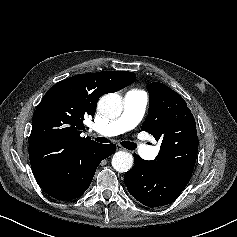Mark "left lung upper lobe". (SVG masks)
Returning a JSON list of instances; mask_svg holds the SVG:
<instances>
[{
  "instance_id": "5c2ea615",
  "label": "left lung upper lobe",
  "mask_w": 237,
  "mask_h": 237,
  "mask_svg": "<svg viewBox=\"0 0 237 237\" xmlns=\"http://www.w3.org/2000/svg\"><path fill=\"white\" fill-rule=\"evenodd\" d=\"M148 92V116L141 129L161 141L154 161L170 169L193 172L198 136L195 119L185 100L159 82L149 84Z\"/></svg>"
}]
</instances>
